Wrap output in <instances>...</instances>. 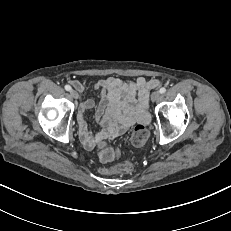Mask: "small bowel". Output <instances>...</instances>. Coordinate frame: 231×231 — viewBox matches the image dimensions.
Wrapping results in <instances>:
<instances>
[{
    "instance_id": "1",
    "label": "small bowel",
    "mask_w": 231,
    "mask_h": 231,
    "mask_svg": "<svg viewBox=\"0 0 231 231\" xmlns=\"http://www.w3.org/2000/svg\"><path fill=\"white\" fill-rule=\"evenodd\" d=\"M71 83L78 91L85 88L78 80H72ZM159 85V80L145 77H138L136 80L108 77L95 81L93 87L101 95L96 120L102 128L96 134L90 131L85 113L95 106V102L92 99L83 101L77 115L79 137L83 146L91 150L106 139L123 133L135 123H147L149 92Z\"/></svg>"
}]
</instances>
